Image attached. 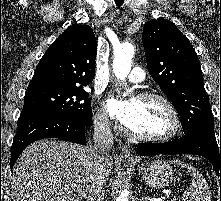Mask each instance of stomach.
Segmentation results:
<instances>
[{"instance_id": "0dacf381", "label": "stomach", "mask_w": 221, "mask_h": 201, "mask_svg": "<svg viewBox=\"0 0 221 201\" xmlns=\"http://www.w3.org/2000/svg\"><path fill=\"white\" fill-rule=\"evenodd\" d=\"M127 166L133 167L132 164H127ZM138 170L142 174L145 183L153 188L168 187L175 180L172 167L164 161H153L139 167Z\"/></svg>"}]
</instances>
